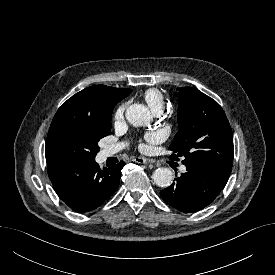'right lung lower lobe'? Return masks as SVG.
<instances>
[{
	"mask_svg": "<svg viewBox=\"0 0 275 275\" xmlns=\"http://www.w3.org/2000/svg\"><path fill=\"white\" fill-rule=\"evenodd\" d=\"M123 161L100 169L96 161L48 165L49 178L63 202L76 212H88L102 205L117 190Z\"/></svg>",
	"mask_w": 275,
	"mask_h": 275,
	"instance_id": "98d812e1",
	"label": "right lung lower lobe"
}]
</instances>
